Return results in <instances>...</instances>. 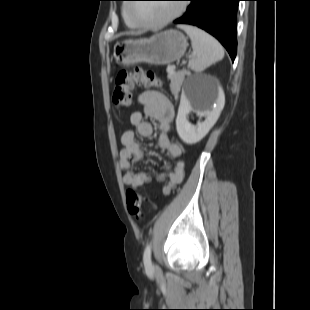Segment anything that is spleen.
Masks as SVG:
<instances>
[{"label":"spleen","mask_w":310,"mask_h":310,"mask_svg":"<svg viewBox=\"0 0 310 310\" xmlns=\"http://www.w3.org/2000/svg\"><path fill=\"white\" fill-rule=\"evenodd\" d=\"M191 39L194 57L189 62L193 71L201 72L224 57V49L211 35L194 26L180 25Z\"/></svg>","instance_id":"3e777b00"}]
</instances>
